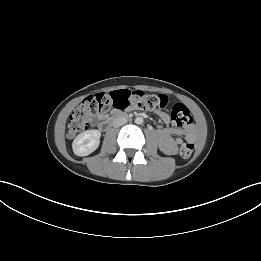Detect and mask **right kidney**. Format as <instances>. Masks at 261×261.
<instances>
[{"instance_id":"1","label":"right kidney","mask_w":261,"mask_h":261,"mask_svg":"<svg viewBox=\"0 0 261 261\" xmlns=\"http://www.w3.org/2000/svg\"><path fill=\"white\" fill-rule=\"evenodd\" d=\"M101 132L99 130H87L76 136L72 143V149L77 156H87L95 151L100 143Z\"/></svg>"}]
</instances>
